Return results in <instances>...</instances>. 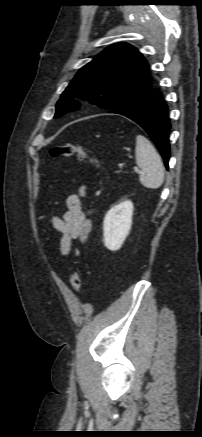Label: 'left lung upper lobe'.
<instances>
[{
  "mask_svg": "<svg viewBox=\"0 0 202 437\" xmlns=\"http://www.w3.org/2000/svg\"><path fill=\"white\" fill-rule=\"evenodd\" d=\"M151 86L140 52L126 43L114 44L79 70L57 102L54 118L79 109L74 96L111 110Z\"/></svg>",
  "mask_w": 202,
  "mask_h": 437,
  "instance_id": "1",
  "label": "left lung upper lobe"
}]
</instances>
